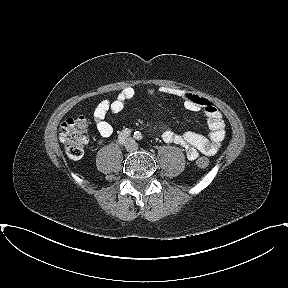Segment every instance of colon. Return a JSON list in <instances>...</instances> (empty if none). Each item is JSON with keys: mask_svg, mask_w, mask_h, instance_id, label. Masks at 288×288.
<instances>
[{"mask_svg": "<svg viewBox=\"0 0 288 288\" xmlns=\"http://www.w3.org/2000/svg\"><path fill=\"white\" fill-rule=\"evenodd\" d=\"M88 126L89 121L84 116L68 118L62 122L59 138L71 159L77 160L83 156L88 142ZM196 164L200 168H206L209 166V159L201 156L197 159Z\"/></svg>", "mask_w": 288, "mask_h": 288, "instance_id": "5ec220e1", "label": "colon"}]
</instances>
